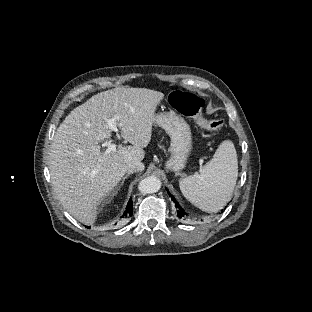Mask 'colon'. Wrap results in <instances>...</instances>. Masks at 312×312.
Masks as SVG:
<instances>
[{
	"mask_svg": "<svg viewBox=\"0 0 312 312\" xmlns=\"http://www.w3.org/2000/svg\"><path fill=\"white\" fill-rule=\"evenodd\" d=\"M170 104L174 110L192 117L199 126L207 130H222L225 127L223 119H208L202 116L204 100L196 94L175 91L170 97Z\"/></svg>",
	"mask_w": 312,
	"mask_h": 312,
	"instance_id": "colon-1",
	"label": "colon"
}]
</instances>
